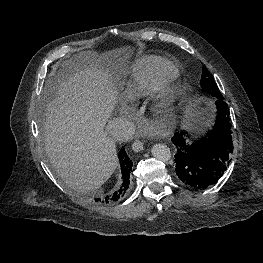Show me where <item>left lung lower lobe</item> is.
Here are the masks:
<instances>
[{
    "mask_svg": "<svg viewBox=\"0 0 263 263\" xmlns=\"http://www.w3.org/2000/svg\"><path fill=\"white\" fill-rule=\"evenodd\" d=\"M216 106L215 124L205 136L193 140L188 131L182 130L172 138L176 174L182 182L196 189L214 185L231 162L233 141L229 107L224 97L217 98Z\"/></svg>",
    "mask_w": 263,
    "mask_h": 263,
    "instance_id": "1",
    "label": "left lung lower lobe"
}]
</instances>
